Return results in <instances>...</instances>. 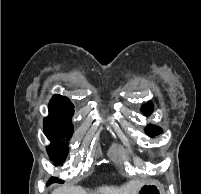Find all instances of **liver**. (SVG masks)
I'll return each mask as SVG.
<instances>
[{
	"mask_svg": "<svg viewBox=\"0 0 201 194\" xmlns=\"http://www.w3.org/2000/svg\"><path fill=\"white\" fill-rule=\"evenodd\" d=\"M143 182L132 180L120 187L102 186L92 191L81 186H61L53 190L52 194H137Z\"/></svg>",
	"mask_w": 201,
	"mask_h": 194,
	"instance_id": "liver-1",
	"label": "liver"
}]
</instances>
